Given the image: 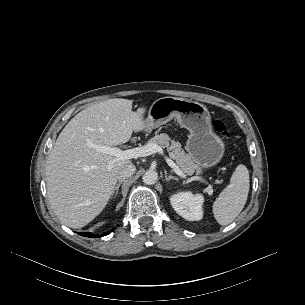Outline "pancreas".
I'll return each mask as SVG.
<instances>
[{"label":"pancreas","mask_w":305,"mask_h":305,"mask_svg":"<svg viewBox=\"0 0 305 305\" xmlns=\"http://www.w3.org/2000/svg\"><path fill=\"white\" fill-rule=\"evenodd\" d=\"M148 144H156L166 148L170 157L176 161L181 171L186 175H192L196 171L201 173V168L195 163L189 154H186L178 141L171 140L166 133L156 134L148 141Z\"/></svg>","instance_id":"cf45deb5"}]
</instances>
